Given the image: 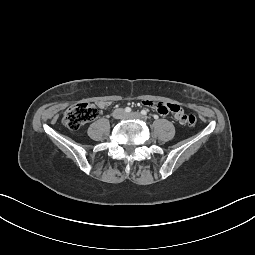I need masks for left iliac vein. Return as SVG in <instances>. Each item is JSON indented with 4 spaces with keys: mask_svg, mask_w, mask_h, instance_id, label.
Segmentation results:
<instances>
[{
    "mask_svg": "<svg viewBox=\"0 0 255 255\" xmlns=\"http://www.w3.org/2000/svg\"><path fill=\"white\" fill-rule=\"evenodd\" d=\"M125 118L139 120V119H144V116H142L139 112H132V113L126 114Z\"/></svg>",
    "mask_w": 255,
    "mask_h": 255,
    "instance_id": "left-iliac-vein-1",
    "label": "left iliac vein"
}]
</instances>
